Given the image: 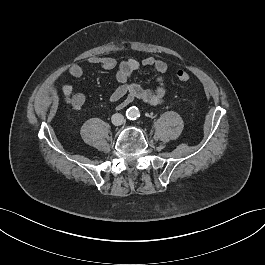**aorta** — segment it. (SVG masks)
I'll return each mask as SVG.
<instances>
[{
  "mask_svg": "<svg viewBox=\"0 0 265 265\" xmlns=\"http://www.w3.org/2000/svg\"><path fill=\"white\" fill-rule=\"evenodd\" d=\"M126 115L129 118H137L139 115V111L136 107H130L126 112Z\"/></svg>",
  "mask_w": 265,
  "mask_h": 265,
  "instance_id": "aorta-1",
  "label": "aorta"
}]
</instances>
